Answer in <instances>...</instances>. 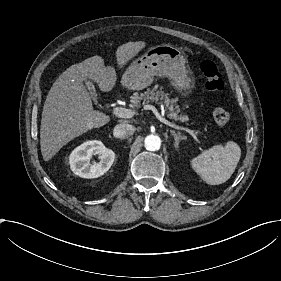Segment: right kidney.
Masks as SVG:
<instances>
[{"instance_id": "obj_1", "label": "right kidney", "mask_w": 281, "mask_h": 281, "mask_svg": "<svg viewBox=\"0 0 281 281\" xmlns=\"http://www.w3.org/2000/svg\"><path fill=\"white\" fill-rule=\"evenodd\" d=\"M100 154V161L89 164L92 156ZM71 171L82 178H96L106 173L114 162L112 150L106 149L100 140H88L77 146L68 156Z\"/></svg>"}]
</instances>
